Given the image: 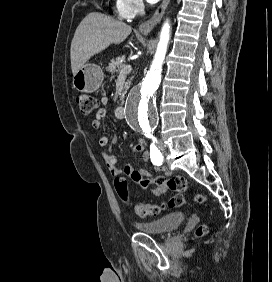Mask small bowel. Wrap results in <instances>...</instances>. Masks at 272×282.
I'll return each mask as SVG.
<instances>
[{
  "label": "small bowel",
  "mask_w": 272,
  "mask_h": 282,
  "mask_svg": "<svg viewBox=\"0 0 272 282\" xmlns=\"http://www.w3.org/2000/svg\"><path fill=\"white\" fill-rule=\"evenodd\" d=\"M102 104L103 105H106L108 103V100L107 98H102ZM107 114V110L105 108H101L95 115V118L93 119L91 125L93 128L95 129H98L100 128L101 126V121L102 119L106 116ZM111 144V145H115L117 143V138L116 137H113L110 141L109 139L106 137V136H102L100 139H99V146L100 148L102 149L101 150V155H102V158L106 164V166L113 172L115 173H119L120 170L118 169L117 167V163H118V159L115 155H113L111 153L110 150L106 149L107 145L108 144ZM133 152H140L142 153V158H143V161L144 163L146 164H150L152 159H151V153L149 152V149H148V146H147V143L142 140V139H139L137 141V143L134 145L133 147ZM125 169H127L126 171V174L131 177L132 175V169L130 166H127ZM163 173L166 175V176H170L171 172L170 170L167 168V167H162L160 168ZM142 175L150 178V172L148 170H143L141 172ZM151 181L143 188H150L151 189V193L153 195H161L163 194L166 189H167V186L166 185H163V184H159V183H156L153 181V178H150Z\"/></svg>",
  "instance_id": "obj_1"
}]
</instances>
